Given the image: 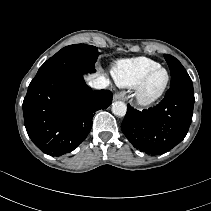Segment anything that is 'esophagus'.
<instances>
[{
  "label": "esophagus",
  "mask_w": 211,
  "mask_h": 211,
  "mask_svg": "<svg viewBox=\"0 0 211 211\" xmlns=\"http://www.w3.org/2000/svg\"><path fill=\"white\" fill-rule=\"evenodd\" d=\"M125 99V92H118L114 95L113 100H124Z\"/></svg>",
  "instance_id": "1"
}]
</instances>
